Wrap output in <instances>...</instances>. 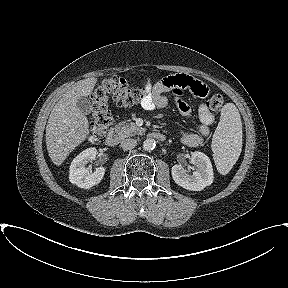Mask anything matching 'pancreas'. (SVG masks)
<instances>
[{"instance_id": "cf45deb5", "label": "pancreas", "mask_w": 288, "mask_h": 288, "mask_svg": "<svg viewBox=\"0 0 288 288\" xmlns=\"http://www.w3.org/2000/svg\"><path fill=\"white\" fill-rule=\"evenodd\" d=\"M115 131L121 137H129L137 134H142L145 131V129L138 127L134 123L127 124L124 121H122L115 126Z\"/></svg>"}]
</instances>
